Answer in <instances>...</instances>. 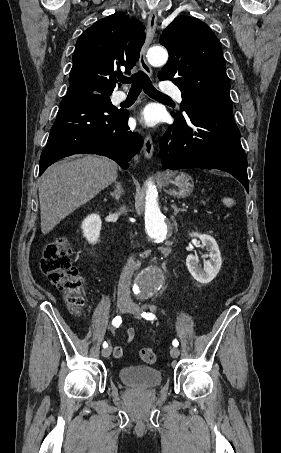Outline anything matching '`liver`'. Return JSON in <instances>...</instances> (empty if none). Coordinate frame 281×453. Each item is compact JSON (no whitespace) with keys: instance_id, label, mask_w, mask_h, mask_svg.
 Returning a JSON list of instances; mask_svg holds the SVG:
<instances>
[{"instance_id":"1","label":"liver","mask_w":281,"mask_h":453,"mask_svg":"<svg viewBox=\"0 0 281 453\" xmlns=\"http://www.w3.org/2000/svg\"><path fill=\"white\" fill-rule=\"evenodd\" d=\"M118 164L106 156L88 154L76 160H60L40 178L41 231L50 233L56 224L86 204L116 180Z\"/></svg>"}]
</instances>
